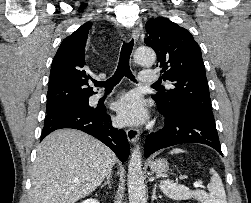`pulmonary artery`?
I'll return each instance as SVG.
<instances>
[{
	"instance_id": "pulmonary-artery-1",
	"label": "pulmonary artery",
	"mask_w": 251,
	"mask_h": 203,
	"mask_svg": "<svg viewBox=\"0 0 251 203\" xmlns=\"http://www.w3.org/2000/svg\"><path fill=\"white\" fill-rule=\"evenodd\" d=\"M139 80L143 83H155L158 81V75L152 71H144L139 74ZM104 97V94L98 93L93 96L94 101H98Z\"/></svg>"
}]
</instances>
